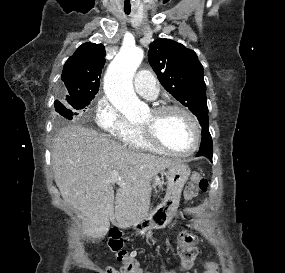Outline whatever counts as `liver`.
<instances>
[{"mask_svg": "<svg viewBox=\"0 0 285 273\" xmlns=\"http://www.w3.org/2000/svg\"><path fill=\"white\" fill-rule=\"evenodd\" d=\"M179 163L131 150L120 143L80 126L68 125L54 138L52 166L61 196L83 216V235L103 238L116 219L127 228L145 219L150 207L154 176ZM113 170L120 181L114 196Z\"/></svg>", "mask_w": 285, "mask_h": 273, "instance_id": "obj_1", "label": "liver"}]
</instances>
